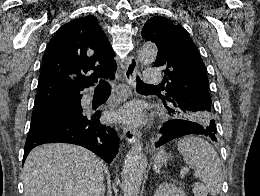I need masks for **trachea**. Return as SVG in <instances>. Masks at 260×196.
I'll return each mask as SVG.
<instances>
[{
	"label": "trachea",
	"mask_w": 260,
	"mask_h": 196,
	"mask_svg": "<svg viewBox=\"0 0 260 196\" xmlns=\"http://www.w3.org/2000/svg\"><path fill=\"white\" fill-rule=\"evenodd\" d=\"M137 89H148V88H162L164 85H149L144 83L139 77L136 78ZM99 86L109 87L110 83L105 80H101Z\"/></svg>",
	"instance_id": "obj_1"
}]
</instances>
